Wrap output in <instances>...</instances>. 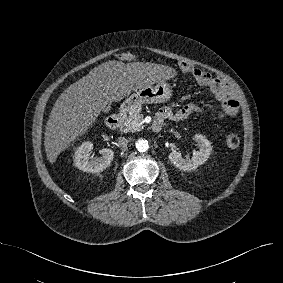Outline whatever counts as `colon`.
<instances>
[{
    "mask_svg": "<svg viewBox=\"0 0 283 283\" xmlns=\"http://www.w3.org/2000/svg\"><path fill=\"white\" fill-rule=\"evenodd\" d=\"M181 68L184 71L190 70V66L187 64H181ZM224 141H225L226 146L231 150L237 149L240 145V139L234 133H227L224 137Z\"/></svg>",
    "mask_w": 283,
    "mask_h": 283,
    "instance_id": "1",
    "label": "colon"
}]
</instances>
